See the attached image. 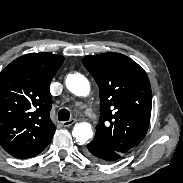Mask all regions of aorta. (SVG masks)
Listing matches in <instances>:
<instances>
[{"label":"aorta","instance_id":"obj_1","mask_svg":"<svg viewBox=\"0 0 183 183\" xmlns=\"http://www.w3.org/2000/svg\"><path fill=\"white\" fill-rule=\"evenodd\" d=\"M65 83L67 89L76 96H87L90 92L89 81L80 73L69 74ZM72 134L76 141L83 144L93 136V131L89 123L81 122L74 126Z\"/></svg>","mask_w":183,"mask_h":183}]
</instances>
